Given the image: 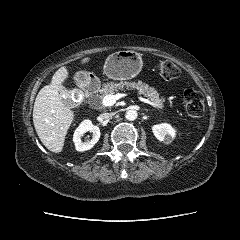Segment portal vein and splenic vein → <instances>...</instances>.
I'll return each mask as SVG.
<instances>
[{"label": "portal vein and splenic vein", "instance_id": "portal-vein-and-splenic-vein-1", "mask_svg": "<svg viewBox=\"0 0 240 240\" xmlns=\"http://www.w3.org/2000/svg\"><path fill=\"white\" fill-rule=\"evenodd\" d=\"M124 96H125V94H122V93H118L116 95H106V96H104V98L102 100V104H103V106H112L116 103L117 100H119L120 98H122ZM138 99L144 103L150 104L154 108L159 109V107L157 105H155L153 102H151L148 99H145L141 96H139Z\"/></svg>", "mask_w": 240, "mask_h": 240}]
</instances>
